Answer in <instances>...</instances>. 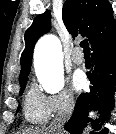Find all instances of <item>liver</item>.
<instances>
[{
    "mask_svg": "<svg viewBox=\"0 0 116 134\" xmlns=\"http://www.w3.org/2000/svg\"><path fill=\"white\" fill-rule=\"evenodd\" d=\"M21 134H56L51 128H42L34 131H25Z\"/></svg>",
    "mask_w": 116,
    "mask_h": 134,
    "instance_id": "liver-1",
    "label": "liver"
}]
</instances>
